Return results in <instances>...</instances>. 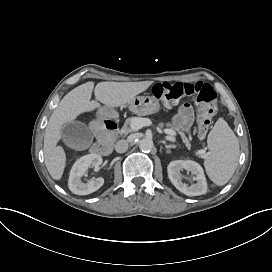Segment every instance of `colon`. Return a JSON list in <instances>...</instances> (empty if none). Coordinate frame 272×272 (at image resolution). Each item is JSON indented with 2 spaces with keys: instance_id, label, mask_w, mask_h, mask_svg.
I'll return each instance as SVG.
<instances>
[{
  "instance_id": "5ec220e1",
  "label": "colon",
  "mask_w": 272,
  "mask_h": 272,
  "mask_svg": "<svg viewBox=\"0 0 272 272\" xmlns=\"http://www.w3.org/2000/svg\"><path fill=\"white\" fill-rule=\"evenodd\" d=\"M153 95L158 100L177 102L183 98L191 99L196 105L203 106L197 115L198 131L206 135L212 119L217 113V95L214 88L205 82H177L158 84L153 88Z\"/></svg>"
}]
</instances>
